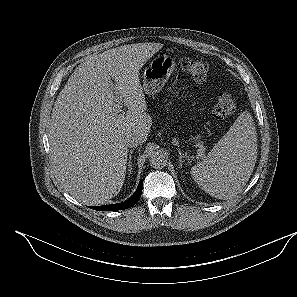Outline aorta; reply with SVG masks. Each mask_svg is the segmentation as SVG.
Returning <instances> with one entry per match:
<instances>
[{
  "label": "aorta",
  "instance_id": "762f6f07",
  "mask_svg": "<svg viewBox=\"0 0 297 297\" xmlns=\"http://www.w3.org/2000/svg\"><path fill=\"white\" fill-rule=\"evenodd\" d=\"M150 166L155 169H161L166 166L167 158L164 152L162 151H153L149 157Z\"/></svg>",
  "mask_w": 297,
  "mask_h": 297
}]
</instances>
